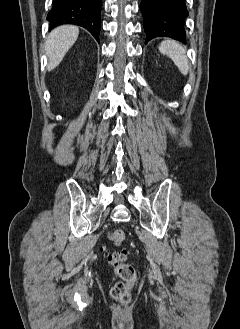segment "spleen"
<instances>
[{
    "mask_svg": "<svg viewBox=\"0 0 240 329\" xmlns=\"http://www.w3.org/2000/svg\"><path fill=\"white\" fill-rule=\"evenodd\" d=\"M159 51L171 58L183 75L189 71V61L182 45L174 40H165L159 45Z\"/></svg>",
    "mask_w": 240,
    "mask_h": 329,
    "instance_id": "1",
    "label": "spleen"
}]
</instances>
